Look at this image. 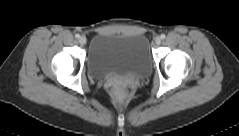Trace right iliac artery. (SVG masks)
<instances>
[{
    "label": "right iliac artery",
    "mask_w": 239,
    "mask_h": 136,
    "mask_svg": "<svg viewBox=\"0 0 239 136\" xmlns=\"http://www.w3.org/2000/svg\"><path fill=\"white\" fill-rule=\"evenodd\" d=\"M75 37H76V38H79V37H80V35H79V34H76V35H75Z\"/></svg>",
    "instance_id": "obj_1"
}]
</instances>
